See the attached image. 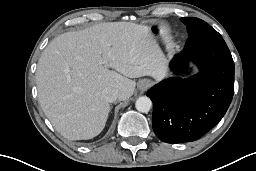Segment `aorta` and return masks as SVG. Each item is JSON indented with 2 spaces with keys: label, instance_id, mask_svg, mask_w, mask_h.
I'll list each match as a JSON object with an SVG mask.
<instances>
[{
  "label": "aorta",
  "instance_id": "762f6f07",
  "mask_svg": "<svg viewBox=\"0 0 256 171\" xmlns=\"http://www.w3.org/2000/svg\"><path fill=\"white\" fill-rule=\"evenodd\" d=\"M135 107L136 109L139 111V112H142V113H147L150 111L151 107H152V101L149 97L147 96H142V97H139L137 100H136V103H135Z\"/></svg>",
  "mask_w": 256,
  "mask_h": 171
}]
</instances>
